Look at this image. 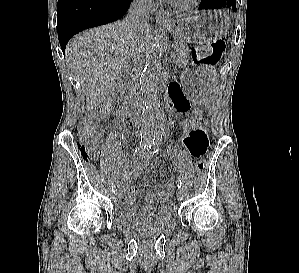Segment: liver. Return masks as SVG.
<instances>
[{
    "label": "liver",
    "instance_id": "obj_1",
    "mask_svg": "<svg viewBox=\"0 0 299 273\" xmlns=\"http://www.w3.org/2000/svg\"><path fill=\"white\" fill-rule=\"evenodd\" d=\"M151 39L150 25L134 30L125 19L84 31L69 41L66 61L81 84L88 110L103 102L132 55L140 57Z\"/></svg>",
    "mask_w": 299,
    "mask_h": 273
}]
</instances>
